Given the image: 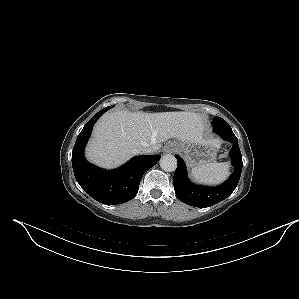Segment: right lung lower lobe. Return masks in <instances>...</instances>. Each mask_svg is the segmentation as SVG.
<instances>
[{
  "label": "right lung lower lobe",
  "mask_w": 299,
  "mask_h": 299,
  "mask_svg": "<svg viewBox=\"0 0 299 299\" xmlns=\"http://www.w3.org/2000/svg\"><path fill=\"white\" fill-rule=\"evenodd\" d=\"M110 108L95 114L78 135L72 152V166L77 182L88 195L100 203L112 205L125 203L137 194L143 174L158 162L161 155L136 156L114 171L90 164L84 157L85 145L94 123Z\"/></svg>",
  "instance_id": "obj_1"
}]
</instances>
